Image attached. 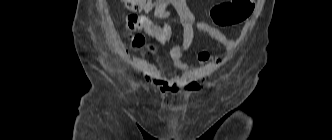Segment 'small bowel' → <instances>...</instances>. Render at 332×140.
<instances>
[{"mask_svg": "<svg viewBox=\"0 0 332 140\" xmlns=\"http://www.w3.org/2000/svg\"><path fill=\"white\" fill-rule=\"evenodd\" d=\"M170 8H174L177 12L182 27L181 40L176 43L170 51L174 71L166 76L155 66H149L145 72L147 81L164 94H175L189 89L194 67L185 63L184 57L193 43L195 29L208 35L216 47L226 52H231L238 45L240 40H231L217 28L204 21L197 20L190 11L187 0H158L154 8L155 16L160 19L168 18ZM151 9L152 6L147 7L145 10L150 11ZM153 38L161 44H166L170 42L173 37L166 38L158 35ZM198 59L201 64H205L209 61L210 54L207 50L202 49L198 54Z\"/></svg>", "mask_w": 332, "mask_h": 140, "instance_id": "small-bowel-1", "label": "small bowel"}]
</instances>
